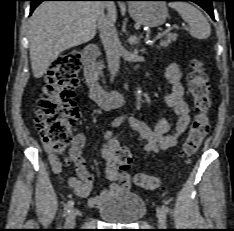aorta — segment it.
I'll return each instance as SVG.
<instances>
[{"instance_id":"obj_1","label":"aorta","mask_w":234,"mask_h":231,"mask_svg":"<svg viewBox=\"0 0 234 231\" xmlns=\"http://www.w3.org/2000/svg\"><path fill=\"white\" fill-rule=\"evenodd\" d=\"M142 94H141V90L139 88H137L136 91V108L140 109L141 106V101H142Z\"/></svg>"}]
</instances>
